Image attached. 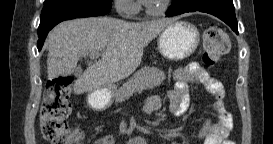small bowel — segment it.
Masks as SVG:
<instances>
[{
	"label": "small bowel",
	"instance_id": "1",
	"mask_svg": "<svg viewBox=\"0 0 273 144\" xmlns=\"http://www.w3.org/2000/svg\"><path fill=\"white\" fill-rule=\"evenodd\" d=\"M175 88L168 94L170 112L175 116H183L190 101L189 89L191 85L203 86L213 97V110L216 120H207L200 132L199 137L203 144H227L226 137L232 129V116L224 104V87L208 71L199 64L193 63L174 72ZM161 108V100L158 95L149 96L142 106L145 115H152ZM96 144H114L112 136L99 138Z\"/></svg>",
	"mask_w": 273,
	"mask_h": 144
}]
</instances>
